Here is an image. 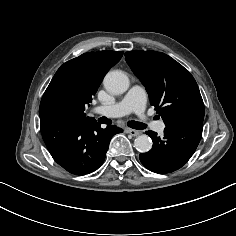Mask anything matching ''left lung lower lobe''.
Listing matches in <instances>:
<instances>
[{
	"instance_id": "1",
	"label": "left lung lower lobe",
	"mask_w": 236,
	"mask_h": 236,
	"mask_svg": "<svg viewBox=\"0 0 236 236\" xmlns=\"http://www.w3.org/2000/svg\"><path fill=\"white\" fill-rule=\"evenodd\" d=\"M203 123L179 122L167 125L164 135L147 131L153 147L139 155L141 163L149 170L165 174L181 168L193 155L202 136Z\"/></svg>"
}]
</instances>
